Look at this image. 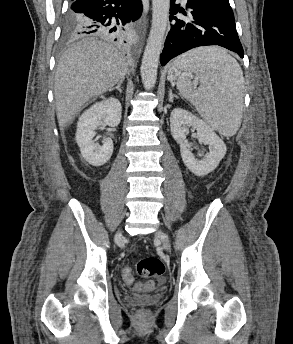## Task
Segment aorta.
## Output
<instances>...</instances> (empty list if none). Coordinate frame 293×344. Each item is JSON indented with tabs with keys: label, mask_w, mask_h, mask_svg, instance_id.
Listing matches in <instances>:
<instances>
[{
	"label": "aorta",
	"mask_w": 293,
	"mask_h": 344,
	"mask_svg": "<svg viewBox=\"0 0 293 344\" xmlns=\"http://www.w3.org/2000/svg\"><path fill=\"white\" fill-rule=\"evenodd\" d=\"M170 0H152V25L140 68L146 90H151L157 79V69L169 19Z\"/></svg>",
	"instance_id": "aorta-1"
}]
</instances>
